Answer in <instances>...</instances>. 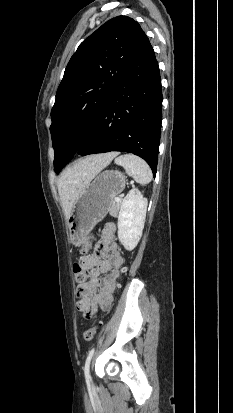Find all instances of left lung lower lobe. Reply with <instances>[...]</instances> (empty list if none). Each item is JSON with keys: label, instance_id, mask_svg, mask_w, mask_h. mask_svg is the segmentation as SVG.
<instances>
[{"label": "left lung lower lobe", "instance_id": "0a47b994", "mask_svg": "<svg viewBox=\"0 0 233 413\" xmlns=\"http://www.w3.org/2000/svg\"><path fill=\"white\" fill-rule=\"evenodd\" d=\"M161 121L160 72L154 50L146 36L78 154L130 152L143 158L155 176Z\"/></svg>", "mask_w": 233, "mask_h": 413}]
</instances>
